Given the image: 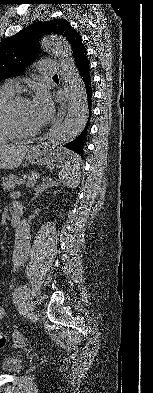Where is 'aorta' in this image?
<instances>
[{
	"instance_id": "762f6f07",
	"label": "aorta",
	"mask_w": 153,
	"mask_h": 393,
	"mask_svg": "<svg viewBox=\"0 0 153 393\" xmlns=\"http://www.w3.org/2000/svg\"><path fill=\"white\" fill-rule=\"evenodd\" d=\"M40 49L51 52L59 60L60 77L68 103L69 117L63 124L50 130L49 140L53 143H63L72 139L85 123L86 95L69 42L61 36L51 35L42 39ZM16 236L15 244L18 247L12 262L20 268V262L28 261L27 251L32 241L29 235V219L24 218L19 222L16 227Z\"/></svg>"
}]
</instances>
